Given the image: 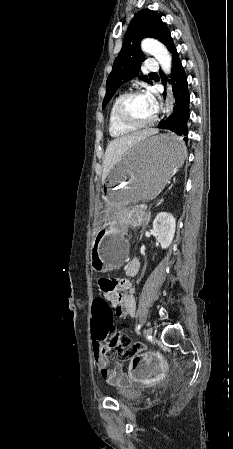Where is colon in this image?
I'll list each match as a JSON object with an SVG mask.
<instances>
[{"instance_id": "colon-1", "label": "colon", "mask_w": 233, "mask_h": 449, "mask_svg": "<svg viewBox=\"0 0 233 449\" xmlns=\"http://www.w3.org/2000/svg\"><path fill=\"white\" fill-rule=\"evenodd\" d=\"M102 290V288L100 287ZM92 319L89 321L93 349H116L122 358L131 359V369L136 371L143 365L142 343H132L131 339L114 330V312L105 300L93 301Z\"/></svg>"}]
</instances>
